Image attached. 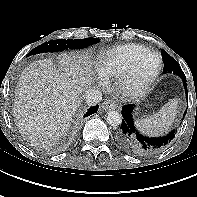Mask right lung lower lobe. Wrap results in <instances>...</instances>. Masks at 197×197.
Returning <instances> with one entry per match:
<instances>
[{
  "mask_svg": "<svg viewBox=\"0 0 197 197\" xmlns=\"http://www.w3.org/2000/svg\"><path fill=\"white\" fill-rule=\"evenodd\" d=\"M98 110V106H94L88 109L87 113L84 115V117L90 116L94 113H96Z\"/></svg>",
  "mask_w": 197,
  "mask_h": 197,
  "instance_id": "obj_1",
  "label": "right lung lower lobe"
}]
</instances>
